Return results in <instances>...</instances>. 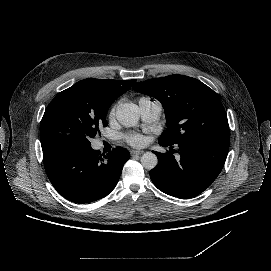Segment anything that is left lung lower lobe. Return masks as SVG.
Returning <instances> with one entry per match:
<instances>
[{
  "instance_id": "1",
  "label": "left lung lower lobe",
  "mask_w": 271,
  "mask_h": 271,
  "mask_svg": "<svg viewBox=\"0 0 271 271\" xmlns=\"http://www.w3.org/2000/svg\"><path fill=\"white\" fill-rule=\"evenodd\" d=\"M164 147L172 146L158 141ZM180 159L172 147L167 153L156 154L158 165L150 178L162 192L178 198H191L205 191L221 172L229 150V139L200 136L197 141L178 144ZM172 152V153H171Z\"/></svg>"
}]
</instances>
